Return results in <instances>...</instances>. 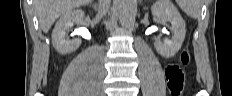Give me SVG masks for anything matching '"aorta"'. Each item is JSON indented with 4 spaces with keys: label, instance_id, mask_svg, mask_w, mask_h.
I'll use <instances>...</instances> for the list:
<instances>
[{
    "label": "aorta",
    "instance_id": "762f6f07",
    "mask_svg": "<svg viewBox=\"0 0 232 96\" xmlns=\"http://www.w3.org/2000/svg\"><path fill=\"white\" fill-rule=\"evenodd\" d=\"M134 0H118V13L121 24L130 22L134 11Z\"/></svg>",
    "mask_w": 232,
    "mask_h": 96
}]
</instances>
